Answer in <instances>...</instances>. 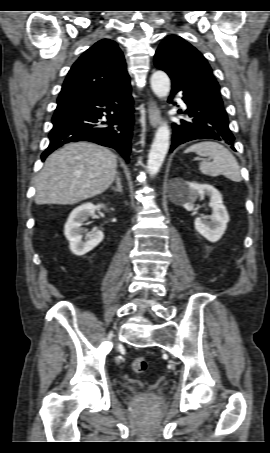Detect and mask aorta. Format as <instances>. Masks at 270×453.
I'll return each instance as SVG.
<instances>
[{
  "label": "aorta",
  "mask_w": 270,
  "mask_h": 453,
  "mask_svg": "<svg viewBox=\"0 0 270 453\" xmlns=\"http://www.w3.org/2000/svg\"><path fill=\"white\" fill-rule=\"evenodd\" d=\"M151 88L154 94L160 98H166L170 92V79L163 71H156L151 76ZM170 130L166 123H163L156 131L149 155L147 167L149 174L155 176L165 159L169 149Z\"/></svg>",
  "instance_id": "aorta-1"
}]
</instances>
